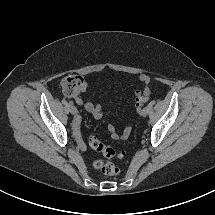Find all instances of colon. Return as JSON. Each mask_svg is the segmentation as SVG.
I'll use <instances>...</instances> for the list:
<instances>
[{"label": "colon", "mask_w": 215, "mask_h": 215, "mask_svg": "<svg viewBox=\"0 0 215 215\" xmlns=\"http://www.w3.org/2000/svg\"><path fill=\"white\" fill-rule=\"evenodd\" d=\"M84 80L81 76L70 74L63 78L61 86L63 92L68 97L77 96L83 89ZM152 96V90L149 87H144L142 90L135 92L134 106L137 110L140 109L142 104ZM88 143L91 148L101 154V158L94 161L93 165L96 169L100 170L103 174L108 176H115L119 173L118 167L110 160L123 157L122 153L116 152L113 148L102 143L97 137L90 136Z\"/></svg>", "instance_id": "1"}]
</instances>
